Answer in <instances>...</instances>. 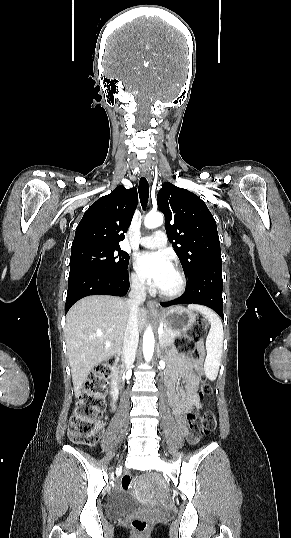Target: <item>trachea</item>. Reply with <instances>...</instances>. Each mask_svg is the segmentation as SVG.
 Masks as SVG:
<instances>
[{
  "instance_id": "1",
  "label": "trachea",
  "mask_w": 291,
  "mask_h": 538,
  "mask_svg": "<svg viewBox=\"0 0 291 538\" xmlns=\"http://www.w3.org/2000/svg\"><path fill=\"white\" fill-rule=\"evenodd\" d=\"M139 198L143 209H145L149 199V185L145 177H141L139 181Z\"/></svg>"
}]
</instances>
